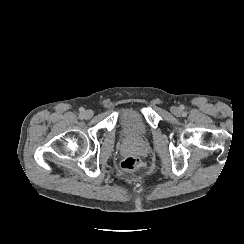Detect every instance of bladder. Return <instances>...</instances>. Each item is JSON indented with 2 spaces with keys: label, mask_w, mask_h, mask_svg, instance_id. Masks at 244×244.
Masks as SVG:
<instances>
[{
  "label": "bladder",
  "mask_w": 244,
  "mask_h": 244,
  "mask_svg": "<svg viewBox=\"0 0 244 244\" xmlns=\"http://www.w3.org/2000/svg\"><path fill=\"white\" fill-rule=\"evenodd\" d=\"M122 119V130L126 139L135 140L143 135V123L135 111H123Z\"/></svg>",
  "instance_id": "1"
}]
</instances>
